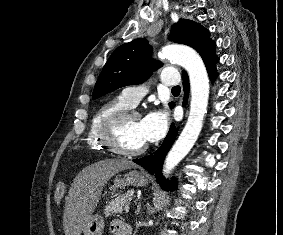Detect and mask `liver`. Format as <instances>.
<instances>
[{
  "mask_svg": "<svg viewBox=\"0 0 283 235\" xmlns=\"http://www.w3.org/2000/svg\"><path fill=\"white\" fill-rule=\"evenodd\" d=\"M135 167L136 164L126 159H106L84 168L74 178L66 199L63 214L65 235H80L107 181L116 173Z\"/></svg>",
  "mask_w": 283,
  "mask_h": 235,
  "instance_id": "1",
  "label": "liver"
}]
</instances>
